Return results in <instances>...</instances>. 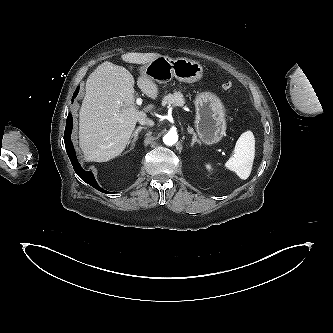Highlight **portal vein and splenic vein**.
<instances>
[{
  "label": "portal vein and splenic vein",
  "mask_w": 333,
  "mask_h": 333,
  "mask_svg": "<svg viewBox=\"0 0 333 333\" xmlns=\"http://www.w3.org/2000/svg\"><path fill=\"white\" fill-rule=\"evenodd\" d=\"M136 104L137 105H141L142 104V99L141 98H137L136 99Z\"/></svg>",
  "instance_id": "obj_1"
}]
</instances>
